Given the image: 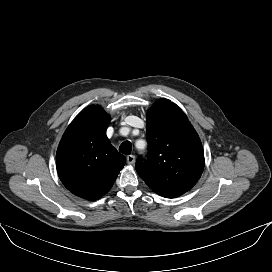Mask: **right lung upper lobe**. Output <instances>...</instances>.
Instances as JSON below:
<instances>
[{
    "mask_svg": "<svg viewBox=\"0 0 272 272\" xmlns=\"http://www.w3.org/2000/svg\"><path fill=\"white\" fill-rule=\"evenodd\" d=\"M110 116L101 106L82 110L66 129L57 149V172L74 195L97 200L112 187L125 157L110 144Z\"/></svg>",
    "mask_w": 272,
    "mask_h": 272,
    "instance_id": "right-lung-upper-lobe-1",
    "label": "right lung upper lobe"
}]
</instances>
